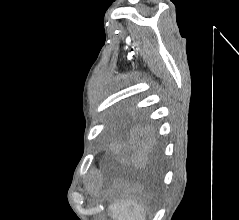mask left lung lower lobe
<instances>
[{
  "label": "left lung lower lobe",
  "mask_w": 239,
  "mask_h": 220,
  "mask_svg": "<svg viewBox=\"0 0 239 220\" xmlns=\"http://www.w3.org/2000/svg\"><path fill=\"white\" fill-rule=\"evenodd\" d=\"M109 144L112 163L138 161L146 155L153 158L157 156L153 135L137 120L123 122L110 136Z\"/></svg>",
  "instance_id": "obj_1"
}]
</instances>
